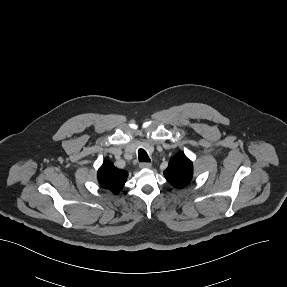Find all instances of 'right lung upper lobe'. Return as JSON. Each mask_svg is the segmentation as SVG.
Returning a JSON list of instances; mask_svg holds the SVG:
<instances>
[{
  "label": "right lung upper lobe",
  "mask_w": 287,
  "mask_h": 287,
  "mask_svg": "<svg viewBox=\"0 0 287 287\" xmlns=\"http://www.w3.org/2000/svg\"><path fill=\"white\" fill-rule=\"evenodd\" d=\"M128 173L116 168L110 162H104L98 170L99 184L114 194H117L124 186Z\"/></svg>",
  "instance_id": "cb5924a9"
}]
</instances>
